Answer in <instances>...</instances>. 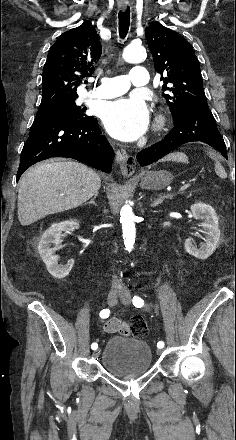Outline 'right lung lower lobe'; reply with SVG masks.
<instances>
[{
    "mask_svg": "<svg viewBox=\"0 0 236 440\" xmlns=\"http://www.w3.org/2000/svg\"><path fill=\"white\" fill-rule=\"evenodd\" d=\"M68 157L110 173L114 151L101 135L97 119H81L60 113L39 112L23 146L18 181L31 165L51 158Z\"/></svg>",
    "mask_w": 236,
    "mask_h": 440,
    "instance_id": "obj_1",
    "label": "right lung lower lobe"
}]
</instances>
